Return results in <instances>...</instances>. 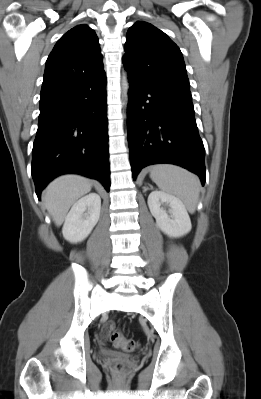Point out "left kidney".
I'll list each match as a JSON object with an SVG mask.
<instances>
[{"mask_svg": "<svg viewBox=\"0 0 261 399\" xmlns=\"http://www.w3.org/2000/svg\"><path fill=\"white\" fill-rule=\"evenodd\" d=\"M147 202L152 216L156 219V226L169 237L179 238L191 231L190 217L179 198L162 191H153L149 194Z\"/></svg>", "mask_w": 261, "mask_h": 399, "instance_id": "1", "label": "left kidney"}]
</instances>
